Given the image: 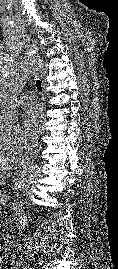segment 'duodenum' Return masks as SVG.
I'll return each instance as SVG.
<instances>
[{
    "mask_svg": "<svg viewBox=\"0 0 118 269\" xmlns=\"http://www.w3.org/2000/svg\"><path fill=\"white\" fill-rule=\"evenodd\" d=\"M26 223H27L26 214L21 212V211L17 212V214H16V225L18 227H20V228H23V227H25Z\"/></svg>",
    "mask_w": 118,
    "mask_h": 269,
    "instance_id": "410a0bca",
    "label": "duodenum"
}]
</instances>
